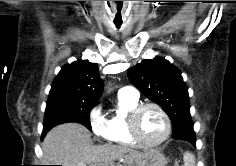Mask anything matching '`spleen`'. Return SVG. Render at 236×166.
<instances>
[{
    "label": "spleen",
    "mask_w": 236,
    "mask_h": 166,
    "mask_svg": "<svg viewBox=\"0 0 236 166\" xmlns=\"http://www.w3.org/2000/svg\"><path fill=\"white\" fill-rule=\"evenodd\" d=\"M183 160L184 166H195V156L192 153L185 152Z\"/></svg>",
    "instance_id": "3e777b00"
}]
</instances>
